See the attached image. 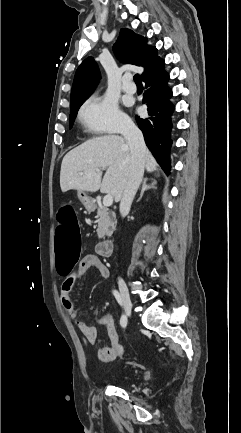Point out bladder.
<instances>
[{
	"instance_id": "bladder-1",
	"label": "bladder",
	"mask_w": 241,
	"mask_h": 433,
	"mask_svg": "<svg viewBox=\"0 0 241 433\" xmlns=\"http://www.w3.org/2000/svg\"><path fill=\"white\" fill-rule=\"evenodd\" d=\"M123 380L127 381V380H129V377L125 376V377H123Z\"/></svg>"
}]
</instances>
